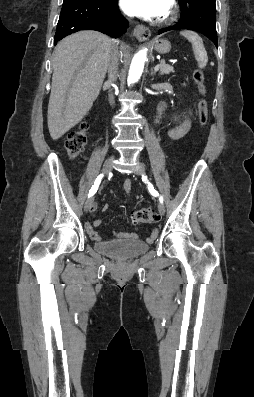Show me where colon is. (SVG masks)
<instances>
[{
    "mask_svg": "<svg viewBox=\"0 0 254 397\" xmlns=\"http://www.w3.org/2000/svg\"><path fill=\"white\" fill-rule=\"evenodd\" d=\"M193 79L197 85L199 93L203 96L198 102V119L201 126L206 125L208 120V103L205 99L206 87L204 73L200 69L193 72ZM88 124L81 122L74 130H72L65 142L68 155L71 158L80 156L86 148ZM132 221L135 224H151L158 221V216L151 208H138L132 212Z\"/></svg>",
    "mask_w": 254,
    "mask_h": 397,
    "instance_id": "1",
    "label": "colon"
}]
</instances>
